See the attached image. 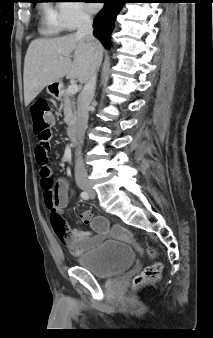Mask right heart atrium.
Here are the masks:
<instances>
[{
    "label": "right heart atrium",
    "mask_w": 213,
    "mask_h": 338,
    "mask_svg": "<svg viewBox=\"0 0 213 338\" xmlns=\"http://www.w3.org/2000/svg\"><path fill=\"white\" fill-rule=\"evenodd\" d=\"M54 18L65 30H73L91 20L90 14L81 2L70 0L58 4Z\"/></svg>",
    "instance_id": "right-heart-atrium-1"
}]
</instances>
